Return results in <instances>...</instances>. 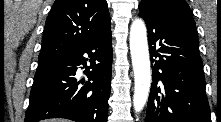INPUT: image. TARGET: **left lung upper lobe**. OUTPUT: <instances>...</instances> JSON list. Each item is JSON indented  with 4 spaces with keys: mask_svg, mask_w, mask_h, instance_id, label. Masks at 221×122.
Listing matches in <instances>:
<instances>
[{
    "mask_svg": "<svg viewBox=\"0 0 221 122\" xmlns=\"http://www.w3.org/2000/svg\"><path fill=\"white\" fill-rule=\"evenodd\" d=\"M144 1H152L160 5L162 9H164L167 13L174 14H184L188 15L192 20L191 12L189 5L185 0H142Z\"/></svg>",
    "mask_w": 221,
    "mask_h": 122,
    "instance_id": "5c2ea615",
    "label": "left lung upper lobe"
}]
</instances>
